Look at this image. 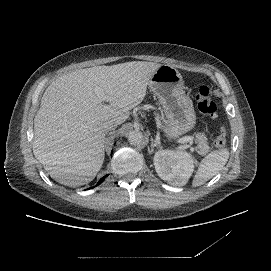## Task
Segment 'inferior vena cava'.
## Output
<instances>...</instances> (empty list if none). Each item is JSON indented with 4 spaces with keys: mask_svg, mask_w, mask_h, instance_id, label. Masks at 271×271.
I'll return each instance as SVG.
<instances>
[{
    "mask_svg": "<svg viewBox=\"0 0 271 271\" xmlns=\"http://www.w3.org/2000/svg\"><path fill=\"white\" fill-rule=\"evenodd\" d=\"M119 123L117 121L107 120L101 125V129L106 133L110 130H114L117 128Z\"/></svg>",
    "mask_w": 271,
    "mask_h": 271,
    "instance_id": "inferior-vena-cava-1",
    "label": "inferior vena cava"
}]
</instances>
